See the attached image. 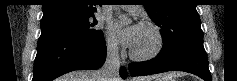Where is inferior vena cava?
I'll list each match as a JSON object with an SVG mask.
<instances>
[{
	"instance_id": "obj_1",
	"label": "inferior vena cava",
	"mask_w": 237,
	"mask_h": 81,
	"mask_svg": "<svg viewBox=\"0 0 237 81\" xmlns=\"http://www.w3.org/2000/svg\"><path fill=\"white\" fill-rule=\"evenodd\" d=\"M120 69V56L118 47L109 45L107 47L106 60L100 69V81H118Z\"/></svg>"
}]
</instances>
